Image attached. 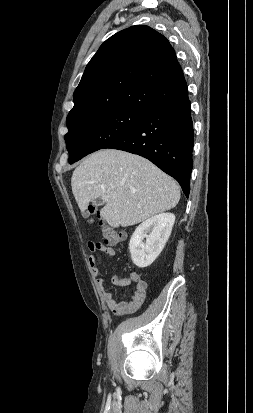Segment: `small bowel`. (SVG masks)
<instances>
[{
	"label": "small bowel",
	"mask_w": 253,
	"mask_h": 413,
	"mask_svg": "<svg viewBox=\"0 0 253 413\" xmlns=\"http://www.w3.org/2000/svg\"><path fill=\"white\" fill-rule=\"evenodd\" d=\"M88 249L91 253L97 251L102 252L106 254L108 258H112L115 255L114 249L103 244L102 242H89ZM89 265L92 274L97 278L96 283L99 288L101 297L106 306L114 315L122 316L126 314H131L140 309V307L143 305L145 301L148 288V285L144 280L140 279L136 274H132L126 277L114 274L110 278V282L115 286L126 287L132 283H135L132 297L129 300H118L116 299L113 293L107 291L104 288V285L106 284L107 280L105 278L99 277L100 272L98 268V263L94 255H90Z\"/></svg>",
	"instance_id": "c3829d8e"
}]
</instances>
